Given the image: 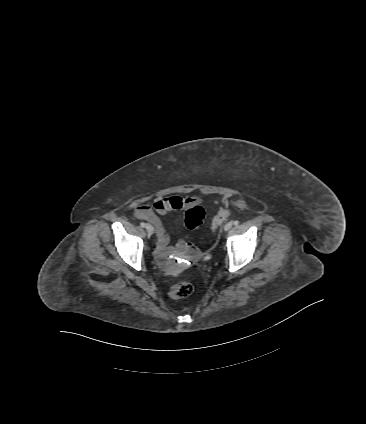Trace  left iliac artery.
Here are the masks:
<instances>
[{
	"mask_svg": "<svg viewBox=\"0 0 366 424\" xmlns=\"http://www.w3.org/2000/svg\"><path fill=\"white\" fill-rule=\"evenodd\" d=\"M233 224L237 226L239 224V221L236 220L233 222Z\"/></svg>",
	"mask_w": 366,
	"mask_h": 424,
	"instance_id": "obj_1",
	"label": "left iliac artery"
}]
</instances>
